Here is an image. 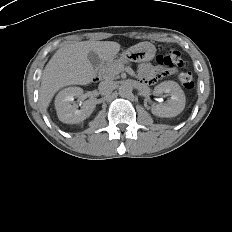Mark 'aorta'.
<instances>
[{"label": "aorta", "instance_id": "762f6f07", "mask_svg": "<svg viewBox=\"0 0 232 232\" xmlns=\"http://www.w3.org/2000/svg\"><path fill=\"white\" fill-rule=\"evenodd\" d=\"M132 94V87L128 84H122L119 87V95L121 97H128L129 95Z\"/></svg>", "mask_w": 232, "mask_h": 232}]
</instances>
